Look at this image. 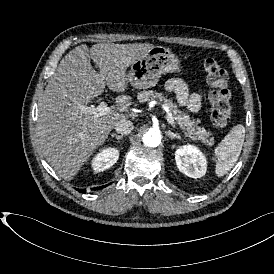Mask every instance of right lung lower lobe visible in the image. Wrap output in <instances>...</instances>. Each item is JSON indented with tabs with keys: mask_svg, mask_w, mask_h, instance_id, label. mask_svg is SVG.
Segmentation results:
<instances>
[{
	"mask_svg": "<svg viewBox=\"0 0 274 274\" xmlns=\"http://www.w3.org/2000/svg\"><path fill=\"white\" fill-rule=\"evenodd\" d=\"M104 186H101V187H96V188H94V190H96V189H100V188H103ZM79 192H81V193H85L86 192V190L85 189H77Z\"/></svg>",
	"mask_w": 274,
	"mask_h": 274,
	"instance_id": "right-lung-lower-lobe-1",
	"label": "right lung lower lobe"
}]
</instances>
